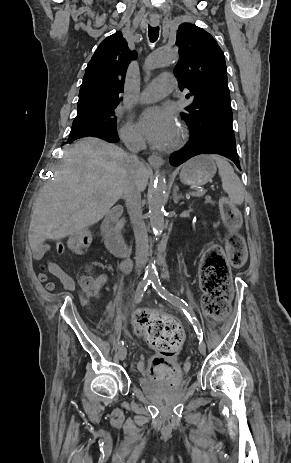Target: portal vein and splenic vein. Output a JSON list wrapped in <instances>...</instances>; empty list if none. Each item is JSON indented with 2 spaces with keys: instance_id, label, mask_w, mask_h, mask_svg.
<instances>
[{
  "instance_id": "1",
  "label": "portal vein and splenic vein",
  "mask_w": 291,
  "mask_h": 463,
  "mask_svg": "<svg viewBox=\"0 0 291 463\" xmlns=\"http://www.w3.org/2000/svg\"><path fill=\"white\" fill-rule=\"evenodd\" d=\"M204 194H205V190H199L196 192H191L189 195L194 196V197H200V196H203Z\"/></svg>"
}]
</instances>
